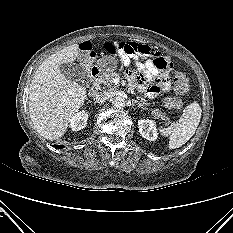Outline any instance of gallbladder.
Segmentation results:
<instances>
[{
	"label": "gallbladder",
	"instance_id": "bac80fb5",
	"mask_svg": "<svg viewBox=\"0 0 233 233\" xmlns=\"http://www.w3.org/2000/svg\"><path fill=\"white\" fill-rule=\"evenodd\" d=\"M60 71L71 81L83 84L88 82L87 70L79 64L64 63L60 65Z\"/></svg>",
	"mask_w": 233,
	"mask_h": 233
}]
</instances>
